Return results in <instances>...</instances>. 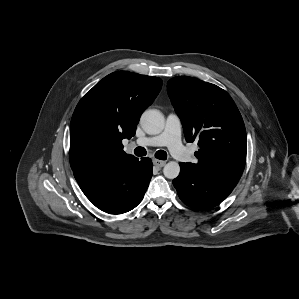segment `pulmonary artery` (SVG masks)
I'll list each match as a JSON object with an SVG mask.
<instances>
[{
  "mask_svg": "<svg viewBox=\"0 0 299 299\" xmlns=\"http://www.w3.org/2000/svg\"><path fill=\"white\" fill-rule=\"evenodd\" d=\"M135 144L142 147L167 146L177 159L182 161L191 159V155L181 143V121L175 113L168 114L162 133L156 136L139 138Z\"/></svg>",
  "mask_w": 299,
  "mask_h": 299,
  "instance_id": "1",
  "label": "pulmonary artery"
}]
</instances>
